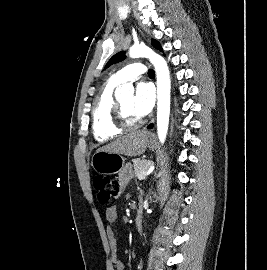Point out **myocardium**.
I'll return each instance as SVG.
<instances>
[{"label": "myocardium", "instance_id": "obj_1", "mask_svg": "<svg viewBox=\"0 0 267 270\" xmlns=\"http://www.w3.org/2000/svg\"><path fill=\"white\" fill-rule=\"evenodd\" d=\"M113 121L114 124L122 130L136 129L143 124L142 119H138L136 121L129 120L119 101L115 102Z\"/></svg>", "mask_w": 267, "mask_h": 270}]
</instances>
